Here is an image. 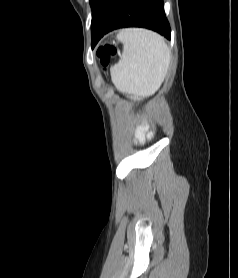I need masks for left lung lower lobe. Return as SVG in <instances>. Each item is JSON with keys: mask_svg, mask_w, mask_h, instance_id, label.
<instances>
[{"mask_svg": "<svg viewBox=\"0 0 238 278\" xmlns=\"http://www.w3.org/2000/svg\"><path fill=\"white\" fill-rule=\"evenodd\" d=\"M143 27L171 39L163 0H97L92 8V47L111 30Z\"/></svg>", "mask_w": 238, "mask_h": 278, "instance_id": "1", "label": "left lung lower lobe"}]
</instances>
